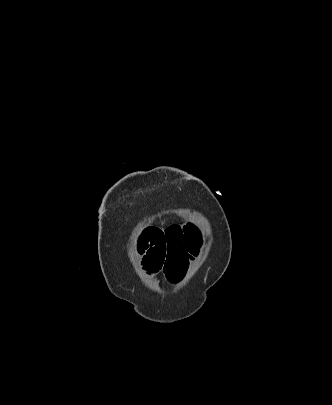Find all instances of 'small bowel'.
Masks as SVG:
<instances>
[{"label": "small bowel", "mask_w": 332, "mask_h": 405, "mask_svg": "<svg viewBox=\"0 0 332 405\" xmlns=\"http://www.w3.org/2000/svg\"><path fill=\"white\" fill-rule=\"evenodd\" d=\"M136 251L141 266L149 275L162 273L167 281L179 282L185 275L190 262V251L184 241L179 225L165 228H145L137 241Z\"/></svg>", "instance_id": "c3829d8e"}]
</instances>
